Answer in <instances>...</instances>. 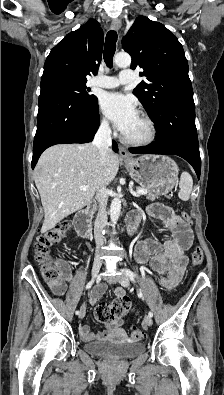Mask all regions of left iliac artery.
Listing matches in <instances>:
<instances>
[{"label": "left iliac artery", "instance_id": "left-iliac-artery-1", "mask_svg": "<svg viewBox=\"0 0 224 395\" xmlns=\"http://www.w3.org/2000/svg\"><path fill=\"white\" fill-rule=\"evenodd\" d=\"M124 271H125V274H126L131 280H134V278L136 277V275H135L134 272H132L130 269H125ZM138 297L143 299V293H142V290H141V289H139ZM148 315H149L150 317H153V313H152L151 311L148 313Z\"/></svg>", "mask_w": 224, "mask_h": 395}]
</instances>
